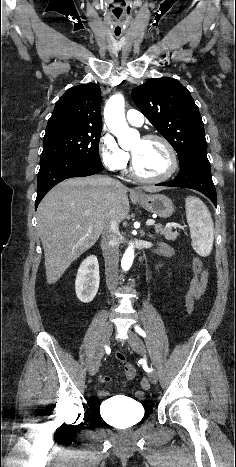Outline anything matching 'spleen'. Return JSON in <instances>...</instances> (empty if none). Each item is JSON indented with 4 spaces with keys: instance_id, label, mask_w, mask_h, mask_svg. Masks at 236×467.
<instances>
[{
    "instance_id": "1",
    "label": "spleen",
    "mask_w": 236,
    "mask_h": 467,
    "mask_svg": "<svg viewBox=\"0 0 236 467\" xmlns=\"http://www.w3.org/2000/svg\"><path fill=\"white\" fill-rule=\"evenodd\" d=\"M186 218L190 228L192 246L200 256H208L213 247L214 225L206 205L197 197L185 200Z\"/></svg>"
}]
</instances>
